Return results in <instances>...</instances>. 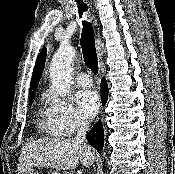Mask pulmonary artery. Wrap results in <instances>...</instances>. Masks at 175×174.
Instances as JSON below:
<instances>
[{"instance_id":"e3ab8cb5","label":"pulmonary artery","mask_w":175,"mask_h":174,"mask_svg":"<svg viewBox=\"0 0 175 174\" xmlns=\"http://www.w3.org/2000/svg\"><path fill=\"white\" fill-rule=\"evenodd\" d=\"M76 83L78 86L87 88L92 85V79L88 73L81 72L76 76Z\"/></svg>"}]
</instances>
